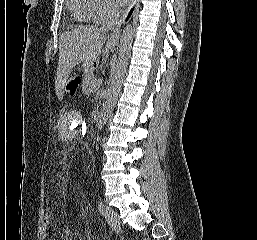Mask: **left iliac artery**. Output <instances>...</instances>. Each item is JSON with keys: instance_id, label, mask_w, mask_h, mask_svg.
Listing matches in <instances>:
<instances>
[{"instance_id": "1", "label": "left iliac artery", "mask_w": 257, "mask_h": 240, "mask_svg": "<svg viewBox=\"0 0 257 240\" xmlns=\"http://www.w3.org/2000/svg\"><path fill=\"white\" fill-rule=\"evenodd\" d=\"M98 210L101 213V215H104L105 206L101 199L98 200Z\"/></svg>"}]
</instances>
